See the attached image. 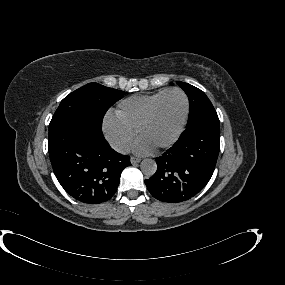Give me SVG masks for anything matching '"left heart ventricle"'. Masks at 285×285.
<instances>
[{
    "mask_svg": "<svg viewBox=\"0 0 285 285\" xmlns=\"http://www.w3.org/2000/svg\"><path fill=\"white\" fill-rule=\"evenodd\" d=\"M185 112V101L178 92L167 94L160 103L153 119L143 129L140 137L153 147L170 141L176 134Z\"/></svg>",
    "mask_w": 285,
    "mask_h": 285,
    "instance_id": "b2bd125f",
    "label": "left heart ventricle"
}]
</instances>
